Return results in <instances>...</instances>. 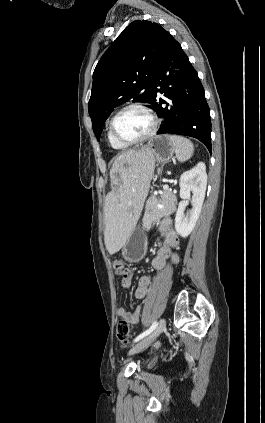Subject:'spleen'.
Listing matches in <instances>:
<instances>
[{
	"label": "spleen",
	"mask_w": 265,
	"mask_h": 423,
	"mask_svg": "<svg viewBox=\"0 0 265 423\" xmlns=\"http://www.w3.org/2000/svg\"><path fill=\"white\" fill-rule=\"evenodd\" d=\"M170 140L178 161L185 162L192 157L194 146L190 140L177 135H171Z\"/></svg>",
	"instance_id": "3e777b00"
}]
</instances>
